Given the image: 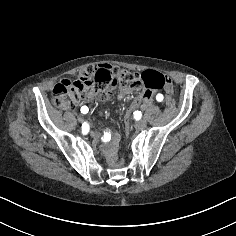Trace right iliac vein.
Returning <instances> with one entry per match:
<instances>
[{"label": "right iliac vein", "mask_w": 236, "mask_h": 236, "mask_svg": "<svg viewBox=\"0 0 236 236\" xmlns=\"http://www.w3.org/2000/svg\"><path fill=\"white\" fill-rule=\"evenodd\" d=\"M91 135H92V136H95V135H96V132H95V131H92V132H91Z\"/></svg>", "instance_id": "obj_1"}]
</instances>
